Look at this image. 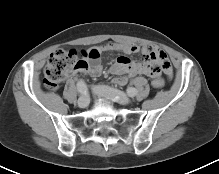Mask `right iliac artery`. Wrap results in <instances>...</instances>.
I'll use <instances>...</instances> for the list:
<instances>
[{
	"mask_svg": "<svg viewBox=\"0 0 219 174\" xmlns=\"http://www.w3.org/2000/svg\"><path fill=\"white\" fill-rule=\"evenodd\" d=\"M77 90L79 93L86 95L88 93V88L83 80H79L77 83Z\"/></svg>",
	"mask_w": 219,
	"mask_h": 174,
	"instance_id": "82829eb1",
	"label": "right iliac artery"
}]
</instances>
